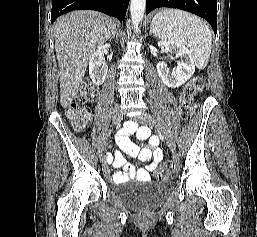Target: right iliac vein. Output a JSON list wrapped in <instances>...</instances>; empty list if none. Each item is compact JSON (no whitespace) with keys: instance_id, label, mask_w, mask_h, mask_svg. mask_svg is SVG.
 I'll use <instances>...</instances> for the list:
<instances>
[{"instance_id":"63e3f726","label":"right iliac vein","mask_w":257,"mask_h":237,"mask_svg":"<svg viewBox=\"0 0 257 237\" xmlns=\"http://www.w3.org/2000/svg\"><path fill=\"white\" fill-rule=\"evenodd\" d=\"M123 116L122 110L118 107H115L112 113V120H113V125H117L119 124V122L121 121ZM108 149V143L104 142V144L102 145V153L103 155H105L106 151Z\"/></svg>"}]
</instances>
